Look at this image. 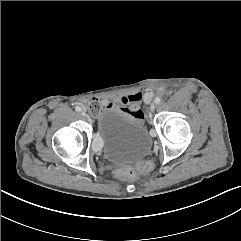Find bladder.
<instances>
[{"label": "bladder", "mask_w": 241, "mask_h": 241, "mask_svg": "<svg viewBox=\"0 0 241 241\" xmlns=\"http://www.w3.org/2000/svg\"><path fill=\"white\" fill-rule=\"evenodd\" d=\"M96 137L104 157L113 163H126L145 158L151 139L144 125L115 108H105L97 120Z\"/></svg>", "instance_id": "1"}]
</instances>
